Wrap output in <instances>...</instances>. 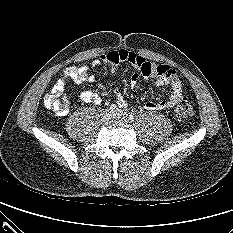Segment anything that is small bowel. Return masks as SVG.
Wrapping results in <instances>:
<instances>
[{"instance_id": "1", "label": "small bowel", "mask_w": 233, "mask_h": 233, "mask_svg": "<svg viewBox=\"0 0 233 233\" xmlns=\"http://www.w3.org/2000/svg\"><path fill=\"white\" fill-rule=\"evenodd\" d=\"M121 63H129L134 68V72L130 77L131 87H135L138 84L140 77L154 79V84L156 86H170L169 96L160 101H147L144 104L146 110L158 111L171 109L182 99V83L174 69L168 65L148 62L142 56L126 49H119L105 53L98 59H95L90 66L66 68L53 89L62 93L65 88L66 80H71L75 84L93 81L94 76L91 72L93 68L98 67L101 64H109L115 68ZM80 98L83 102L95 105L100 104L102 101L99 94L90 90L83 91L80 94ZM117 104L123 107L126 105V101L122 97H118ZM67 112L68 110H65L60 115H65Z\"/></svg>"}]
</instances>
